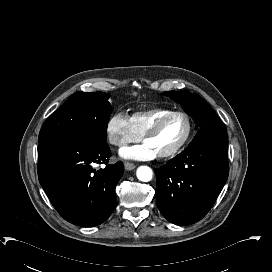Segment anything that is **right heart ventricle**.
I'll use <instances>...</instances> for the list:
<instances>
[{"mask_svg": "<svg viewBox=\"0 0 272 272\" xmlns=\"http://www.w3.org/2000/svg\"><path fill=\"white\" fill-rule=\"evenodd\" d=\"M169 110L157 109L146 112H137L134 114L132 121L139 128L140 131L147 130L152 123L156 121L157 118L162 115L169 113Z\"/></svg>", "mask_w": 272, "mask_h": 272, "instance_id": "e07e8e85", "label": "right heart ventricle"}]
</instances>
